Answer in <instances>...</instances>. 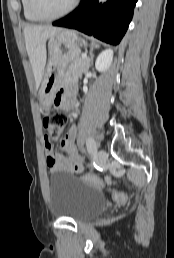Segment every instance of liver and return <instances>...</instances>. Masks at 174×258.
<instances>
[{"mask_svg":"<svg viewBox=\"0 0 174 258\" xmlns=\"http://www.w3.org/2000/svg\"><path fill=\"white\" fill-rule=\"evenodd\" d=\"M61 30V28L42 25H28L24 28L26 50L33 69L37 89L42 81L46 65V41Z\"/></svg>","mask_w":174,"mask_h":258,"instance_id":"6515ba94","label":"liver"}]
</instances>
